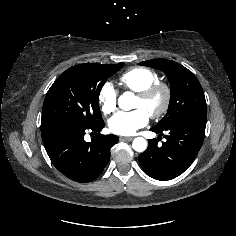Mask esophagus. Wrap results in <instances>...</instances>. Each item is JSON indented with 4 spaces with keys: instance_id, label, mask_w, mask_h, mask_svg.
Listing matches in <instances>:
<instances>
[{
    "instance_id": "1",
    "label": "esophagus",
    "mask_w": 236,
    "mask_h": 236,
    "mask_svg": "<svg viewBox=\"0 0 236 236\" xmlns=\"http://www.w3.org/2000/svg\"><path fill=\"white\" fill-rule=\"evenodd\" d=\"M120 140H123V141H132V140H133V137H120Z\"/></svg>"
}]
</instances>
